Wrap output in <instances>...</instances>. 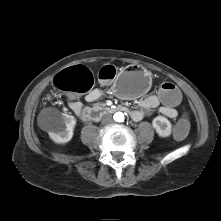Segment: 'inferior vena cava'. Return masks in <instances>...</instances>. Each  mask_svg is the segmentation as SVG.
I'll return each mask as SVG.
<instances>
[{
	"instance_id": "obj_1",
	"label": "inferior vena cava",
	"mask_w": 221,
	"mask_h": 221,
	"mask_svg": "<svg viewBox=\"0 0 221 221\" xmlns=\"http://www.w3.org/2000/svg\"><path fill=\"white\" fill-rule=\"evenodd\" d=\"M109 119H110L109 116H105V117L103 118V121H108Z\"/></svg>"
}]
</instances>
